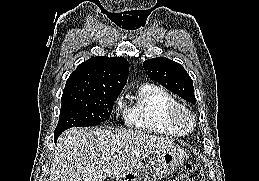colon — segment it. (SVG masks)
Returning <instances> with one entry per match:
<instances>
[{"label": "colon", "instance_id": "obj_1", "mask_svg": "<svg viewBox=\"0 0 259 181\" xmlns=\"http://www.w3.org/2000/svg\"><path fill=\"white\" fill-rule=\"evenodd\" d=\"M203 169L199 164L188 165L186 170L172 181H203Z\"/></svg>", "mask_w": 259, "mask_h": 181}]
</instances>
